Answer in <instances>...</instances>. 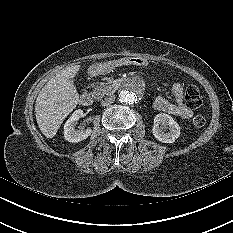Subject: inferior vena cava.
<instances>
[{
  "mask_svg": "<svg viewBox=\"0 0 233 233\" xmlns=\"http://www.w3.org/2000/svg\"><path fill=\"white\" fill-rule=\"evenodd\" d=\"M115 101V95H110L101 101L102 106H108Z\"/></svg>",
  "mask_w": 233,
  "mask_h": 233,
  "instance_id": "inferior-vena-cava-1",
  "label": "inferior vena cava"
}]
</instances>
